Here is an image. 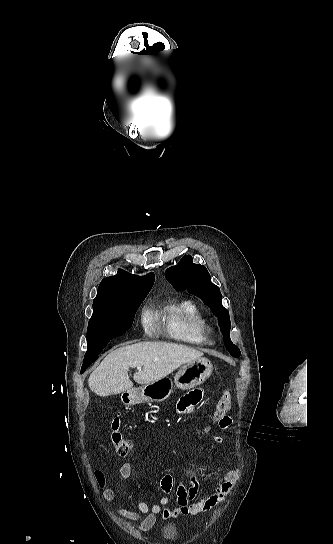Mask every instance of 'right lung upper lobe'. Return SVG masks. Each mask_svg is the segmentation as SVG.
<instances>
[{
  "label": "right lung upper lobe",
  "instance_id": "right-lung-upper-lobe-1",
  "mask_svg": "<svg viewBox=\"0 0 333 544\" xmlns=\"http://www.w3.org/2000/svg\"><path fill=\"white\" fill-rule=\"evenodd\" d=\"M153 273L145 277L131 275L119 270L115 276L104 278L98 288L94 302L125 298L149 291L154 283Z\"/></svg>",
  "mask_w": 333,
  "mask_h": 544
}]
</instances>
